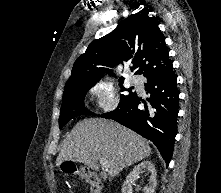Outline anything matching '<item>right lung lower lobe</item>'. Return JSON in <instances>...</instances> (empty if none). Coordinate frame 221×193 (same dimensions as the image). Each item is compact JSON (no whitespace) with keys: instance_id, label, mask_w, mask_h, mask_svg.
I'll return each mask as SVG.
<instances>
[{"instance_id":"right-lung-lower-lobe-1","label":"right lung lower lobe","mask_w":221,"mask_h":193,"mask_svg":"<svg viewBox=\"0 0 221 193\" xmlns=\"http://www.w3.org/2000/svg\"><path fill=\"white\" fill-rule=\"evenodd\" d=\"M146 78L145 90L150 94L147 98L150 106L139 109L143 101L135 95L116 110L101 116L113 119L152 141L168 165L177 134L179 92L176 75L171 67Z\"/></svg>"}]
</instances>
